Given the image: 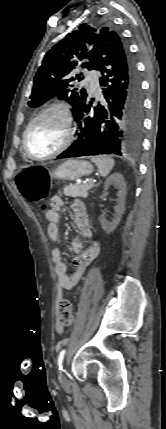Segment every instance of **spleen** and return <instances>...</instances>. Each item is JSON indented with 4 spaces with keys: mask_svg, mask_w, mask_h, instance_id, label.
<instances>
[{
    "mask_svg": "<svg viewBox=\"0 0 166 429\" xmlns=\"http://www.w3.org/2000/svg\"><path fill=\"white\" fill-rule=\"evenodd\" d=\"M91 161L96 164L101 176H107L115 164L114 160L109 156L91 157Z\"/></svg>",
    "mask_w": 166,
    "mask_h": 429,
    "instance_id": "1",
    "label": "spleen"
}]
</instances>
